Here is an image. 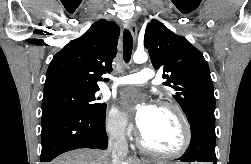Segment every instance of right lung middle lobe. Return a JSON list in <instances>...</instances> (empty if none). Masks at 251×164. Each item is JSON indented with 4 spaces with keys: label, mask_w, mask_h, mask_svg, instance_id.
<instances>
[{
    "label": "right lung middle lobe",
    "mask_w": 251,
    "mask_h": 164,
    "mask_svg": "<svg viewBox=\"0 0 251 164\" xmlns=\"http://www.w3.org/2000/svg\"><path fill=\"white\" fill-rule=\"evenodd\" d=\"M98 90H87L76 87H59L44 91L42 112L62 108L83 112L100 113L106 109V103H98Z\"/></svg>",
    "instance_id": "right-lung-middle-lobe-1"
}]
</instances>
